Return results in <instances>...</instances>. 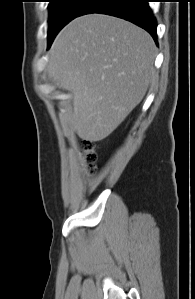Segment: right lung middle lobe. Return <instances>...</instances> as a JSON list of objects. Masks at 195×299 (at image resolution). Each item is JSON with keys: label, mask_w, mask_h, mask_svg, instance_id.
<instances>
[{"label": "right lung middle lobe", "mask_w": 195, "mask_h": 299, "mask_svg": "<svg viewBox=\"0 0 195 299\" xmlns=\"http://www.w3.org/2000/svg\"><path fill=\"white\" fill-rule=\"evenodd\" d=\"M91 0H50L48 21V43L51 45L57 33L77 17Z\"/></svg>", "instance_id": "obj_1"}]
</instances>
